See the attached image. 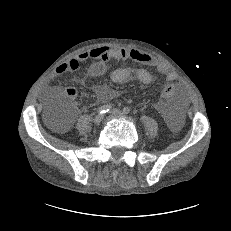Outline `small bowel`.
Listing matches in <instances>:
<instances>
[{
    "instance_id": "c3829d8e",
    "label": "small bowel",
    "mask_w": 231,
    "mask_h": 231,
    "mask_svg": "<svg viewBox=\"0 0 231 231\" xmlns=\"http://www.w3.org/2000/svg\"><path fill=\"white\" fill-rule=\"evenodd\" d=\"M96 60L87 70L86 76L78 79L80 84H86L89 79H94L100 77L104 74H108L112 82L120 85L125 84H136L139 86H147L153 80L154 77L144 68H131V67H121L110 70L109 61L111 59L115 60H131L142 65L151 66L157 69L158 72L167 75L168 81H176L177 77L169 71V67L158 61L152 55L141 52L138 50H124L116 47H97L80 53L76 58H71L60 65H58L54 71L53 76H58L66 72H74L78 69L80 63L87 60ZM73 89V87H68L64 91ZM75 95L72 97L74 98ZM117 93L108 88L101 87L97 90V101L102 103L112 100L116 97ZM157 109L164 116V118L169 122L172 127L178 125V113L174 103H164L159 102L157 104ZM72 122V118H69L67 125Z\"/></svg>"
}]
</instances>
